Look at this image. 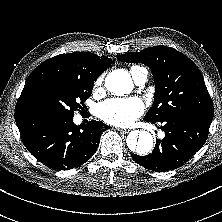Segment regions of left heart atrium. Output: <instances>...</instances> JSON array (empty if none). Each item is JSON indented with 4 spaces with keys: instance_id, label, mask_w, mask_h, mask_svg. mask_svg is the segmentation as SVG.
I'll use <instances>...</instances> for the list:
<instances>
[{
    "instance_id": "39dd6f15",
    "label": "left heart atrium",
    "mask_w": 222,
    "mask_h": 222,
    "mask_svg": "<svg viewBox=\"0 0 222 222\" xmlns=\"http://www.w3.org/2000/svg\"><path fill=\"white\" fill-rule=\"evenodd\" d=\"M144 111L143 102L137 97L114 98L102 102L97 109L98 116L116 126H127Z\"/></svg>"
}]
</instances>
